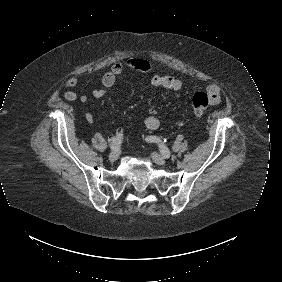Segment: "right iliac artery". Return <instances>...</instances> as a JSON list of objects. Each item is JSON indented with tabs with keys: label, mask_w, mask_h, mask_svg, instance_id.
I'll list each match as a JSON object with an SVG mask.
<instances>
[{
	"label": "right iliac artery",
	"mask_w": 282,
	"mask_h": 282,
	"mask_svg": "<svg viewBox=\"0 0 282 282\" xmlns=\"http://www.w3.org/2000/svg\"><path fill=\"white\" fill-rule=\"evenodd\" d=\"M123 136H116L110 139V148L113 151H117L122 143Z\"/></svg>",
	"instance_id": "82829eb1"
}]
</instances>
